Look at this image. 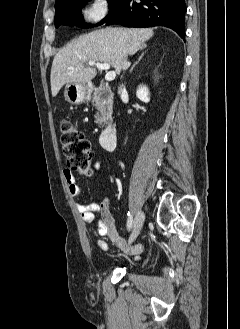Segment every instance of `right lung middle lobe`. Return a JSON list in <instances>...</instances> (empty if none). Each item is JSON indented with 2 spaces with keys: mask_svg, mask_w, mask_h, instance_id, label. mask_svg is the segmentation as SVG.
<instances>
[{
  "mask_svg": "<svg viewBox=\"0 0 240 329\" xmlns=\"http://www.w3.org/2000/svg\"><path fill=\"white\" fill-rule=\"evenodd\" d=\"M91 0H68L61 6L55 8V26L60 24L73 26V25H86L81 15V9L84 4ZM124 0H108L109 14L98 25L104 23L121 5Z\"/></svg>",
  "mask_w": 240,
  "mask_h": 329,
  "instance_id": "1",
  "label": "right lung middle lobe"
}]
</instances>
